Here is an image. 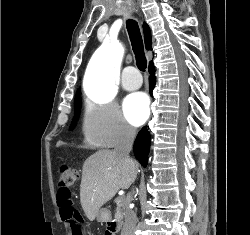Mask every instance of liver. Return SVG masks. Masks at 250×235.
Segmentation results:
<instances>
[{"label":"liver","instance_id":"6515ba94","mask_svg":"<svg viewBox=\"0 0 250 235\" xmlns=\"http://www.w3.org/2000/svg\"><path fill=\"white\" fill-rule=\"evenodd\" d=\"M137 172L135 161L126 162L112 150H99L87 158L80 185V202L87 218L93 221L119 189H128Z\"/></svg>","mask_w":250,"mask_h":235}]
</instances>
